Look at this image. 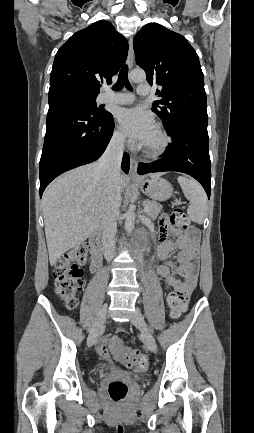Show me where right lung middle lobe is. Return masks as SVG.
I'll use <instances>...</instances> for the list:
<instances>
[{"mask_svg": "<svg viewBox=\"0 0 254 433\" xmlns=\"http://www.w3.org/2000/svg\"><path fill=\"white\" fill-rule=\"evenodd\" d=\"M62 102L71 103L75 105H79L81 107L86 108L94 115H102L107 113L106 110L101 109V107H97L95 98L94 99H69Z\"/></svg>", "mask_w": 254, "mask_h": 433, "instance_id": "1", "label": "right lung middle lobe"}]
</instances>
